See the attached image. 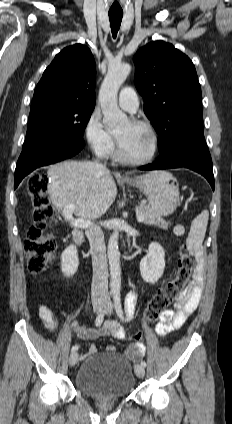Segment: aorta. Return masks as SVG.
<instances>
[{
  "instance_id": "obj_1",
  "label": "aorta",
  "mask_w": 232,
  "mask_h": 424,
  "mask_svg": "<svg viewBox=\"0 0 232 424\" xmlns=\"http://www.w3.org/2000/svg\"><path fill=\"white\" fill-rule=\"evenodd\" d=\"M131 71L127 63L113 64L99 91V101L104 115L103 123L108 128H114L127 122V116L117 104V94L120 86ZM119 232L114 230L108 241V260L110 266V287L112 293H119L121 288L120 253L118 249Z\"/></svg>"
}]
</instances>
